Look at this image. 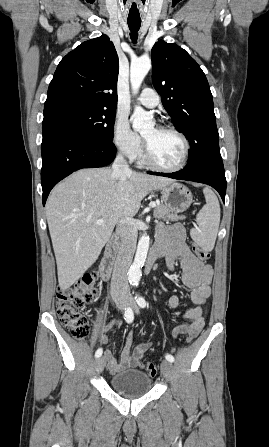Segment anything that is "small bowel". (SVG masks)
I'll use <instances>...</instances> for the list:
<instances>
[{
    "instance_id": "small-bowel-1",
    "label": "small bowel",
    "mask_w": 269,
    "mask_h": 447,
    "mask_svg": "<svg viewBox=\"0 0 269 447\" xmlns=\"http://www.w3.org/2000/svg\"><path fill=\"white\" fill-rule=\"evenodd\" d=\"M156 250L166 252L167 267L173 271L179 260L181 267V283L184 287L191 289L190 298L194 306L187 309L182 315L183 318L191 320V326L181 325L172 334L173 338L187 332L193 326H204L205 304L211 295V283L213 270L210 265L200 261L189 249L186 243V231L181 224H174L169 227L160 226L156 238ZM168 304L172 308L182 305L180 296L172 295ZM116 326V321L112 319L101 328L98 341L102 344L110 342L108 332ZM134 332H130L123 346L120 360L117 361L110 351L105 353V358L112 373H117L128 368L142 366V358L147 350L152 346L150 343H139L133 347Z\"/></svg>"
}]
</instances>
